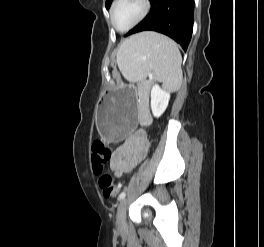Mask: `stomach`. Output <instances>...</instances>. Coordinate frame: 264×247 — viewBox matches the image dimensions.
<instances>
[{"label": "stomach", "mask_w": 264, "mask_h": 247, "mask_svg": "<svg viewBox=\"0 0 264 247\" xmlns=\"http://www.w3.org/2000/svg\"><path fill=\"white\" fill-rule=\"evenodd\" d=\"M117 90H106L98 102L97 121L106 141H125L137 131V103L135 90L131 86H118Z\"/></svg>", "instance_id": "stomach-1"}]
</instances>
